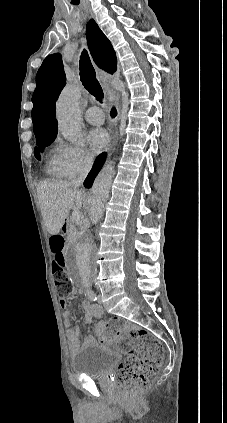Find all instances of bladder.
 <instances>
[{
    "mask_svg": "<svg viewBox=\"0 0 227 423\" xmlns=\"http://www.w3.org/2000/svg\"><path fill=\"white\" fill-rule=\"evenodd\" d=\"M119 357L105 351L99 344L83 345L72 358V371L94 380H104L111 375L109 370L116 367Z\"/></svg>",
    "mask_w": 227,
    "mask_h": 423,
    "instance_id": "1",
    "label": "bladder"
}]
</instances>
